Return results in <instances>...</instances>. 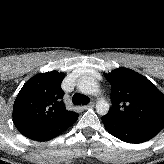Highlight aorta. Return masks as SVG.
Listing matches in <instances>:
<instances>
[{
	"label": "aorta",
	"mask_w": 164,
	"mask_h": 164,
	"mask_svg": "<svg viewBox=\"0 0 164 164\" xmlns=\"http://www.w3.org/2000/svg\"><path fill=\"white\" fill-rule=\"evenodd\" d=\"M79 91L83 94L97 95L100 91L99 85L91 77H82L77 83ZM109 111V104L104 98H100L96 103V112L99 115H106Z\"/></svg>",
	"instance_id": "1"
}]
</instances>
